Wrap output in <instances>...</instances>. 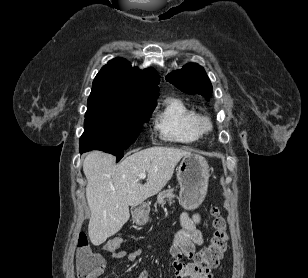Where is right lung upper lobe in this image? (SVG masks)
I'll use <instances>...</instances> for the list:
<instances>
[{"label": "right lung upper lobe", "mask_w": 308, "mask_h": 278, "mask_svg": "<svg viewBox=\"0 0 308 278\" xmlns=\"http://www.w3.org/2000/svg\"><path fill=\"white\" fill-rule=\"evenodd\" d=\"M159 77L154 69L139 70L124 59L109 61L96 75L85 117L128 115L156 102Z\"/></svg>", "instance_id": "1"}]
</instances>
